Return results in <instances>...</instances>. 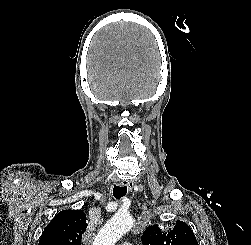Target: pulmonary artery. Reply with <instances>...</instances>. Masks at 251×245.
I'll list each match as a JSON object with an SVG mask.
<instances>
[{"instance_id": "1", "label": "pulmonary artery", "mask_w": 251, "mask_h": 245, "mask_svg": "<svg viewBox=\"0 0 251 245\" xmlns=\"http://www.w3.org/2000/svg\"><path fill=\"white\" fill-rule=\"evenodd\" d=\"M122 245H130V244H128V243H123Z\"/></svg>"}]
</instances>
